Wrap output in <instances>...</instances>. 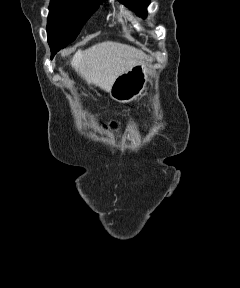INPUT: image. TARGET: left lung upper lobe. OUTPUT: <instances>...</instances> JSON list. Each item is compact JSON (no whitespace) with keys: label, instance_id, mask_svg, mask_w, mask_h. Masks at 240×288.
<instances>
[{"label":"left lung upper lobe","instance_id":"left-lung-upper-lobe-1","mask_svg":"<svg viewBox=\"0 0 240 288\" xmlns=\"http://www.w3.org/2000/svg\"><path fill=\"white\" fill-rule=\"evenodd\" d=\"M127 7L134 9L137 15L145 18L147 15L146 7L149 5V0H119Z\"/></svg>","mask_w":240,"mask_h":288}]
</instances>
